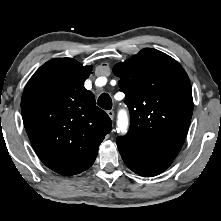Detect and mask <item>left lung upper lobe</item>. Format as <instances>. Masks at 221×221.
Masks as SVG:
<instances>
[{
	"label": "left lung upper lobe",
	"instance_id": "5c2ea615",
	"mask_svg": "<svg viewBox=\"0 0 221 221\" xmlns=\"http://www.w3.org/2000/svg\"><path fill=\"white\" fill-rule=\"evenodd\" d=\"M113 73L120 78L130 110V129L118 137L140 153L173 161L186 138L193 112L192 89L182 66L167 54L146 48Z\"/></svg>",
	"mask_w": 221,
	"mask_h": 221
}]
</instances>
